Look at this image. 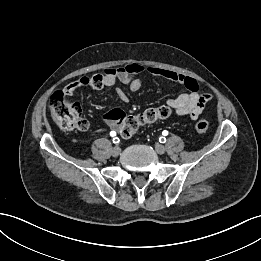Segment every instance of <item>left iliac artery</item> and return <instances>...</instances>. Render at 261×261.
<instances>
[{"instance_id": "left-iliac-artery-1", "label": "left iliac artery", "mask_w": 261, "mask_h": 261, "mask_svg": "<svg viewBox=\"0 0 261 261\" xmlns=\"http://www.w3.org/2000/svg\"><path fill=\"white\" fill-rule=\"evenodd\" d=\"M162 134H163L164 136H166V135H168V131L164 130V131L162 132ZM159 141H160L161 143H165V142H166V138H165V137H160Z\"/></svg>"}]
</instances>
